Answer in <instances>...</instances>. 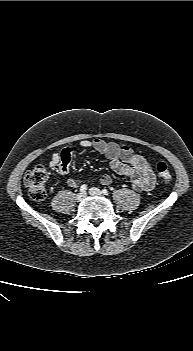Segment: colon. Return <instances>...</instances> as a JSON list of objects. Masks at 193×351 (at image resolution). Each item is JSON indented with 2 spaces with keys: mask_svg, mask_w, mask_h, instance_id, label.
I'll use <instances>...</instances> for the list:
<instances>
[{
  "mask_svg": "<svg viewBox=\"0 0 193 351\" xmlns=\"http://www.w3.org/2000/svg\"><path fill=\"white\" fill-rule=\"evenodd\" d=\"M156 173L159 180L164 184L172 181V172L164 162H158ZM47 171L42 165L34 167L24 178V185L30 196L35 200H43L46 197Z\"/></svg>",
  "mask_w": 193,
  "mask_h": 351,
  "instance_id": "obj_1",
  "label": "colon"
}]
</instances>
